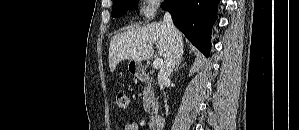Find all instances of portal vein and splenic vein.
Instances as JSON below:
<instances>
[{
    "label": "portal vein and splenic vein",
    "mask_w": 299,
    "mask_h": 130,
    "mask_svg": "<svg viewBox=\"0 0 299 130\" xmlns=\"http://www.w3.org/2000/svg\"><path fill=\"white\" fill-rule=\"evenodd\" d=\"M162 64H163V60L161 58H158L153 62V68L158 69L162 66Z\"/></svg>",
    "instance_id": "1"
}]
</instances>
